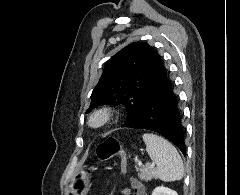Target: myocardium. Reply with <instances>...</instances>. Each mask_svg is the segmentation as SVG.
Segmentation results:
<instances>
[{"mask_svg":"<svg viewBox=\"0 0 240 195\" xmlns=\"http://www.w3.org/2000/svg\"><path fill=\"white\" fill-rule=\"evenodd\" d=\"M110 112L107 108H102L94 111L89 117V125L93 128H98L104 125L109 119Z\"/></svg>","mask_w":240,"mask_h":195,"instance_id":"f54148a6","label":"myocardium"}]
</instances>
